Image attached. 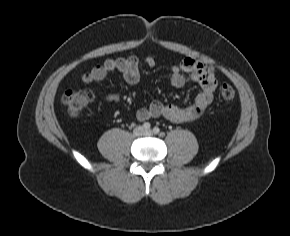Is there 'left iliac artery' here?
Segmentation results:
<instances>
[{"mask_svg":"<svg viewBox=\"0 0 290 236\" xmlns=\"http://www.w3.org/2000/svg\"><path fill=\"white\" fill-rule=\"evenodd\" d=\"M153 132H154L155 134H158V133L160 132V129H159L158 127H154V128H153Z\"/></svg>","mask_w":290,"mask_h":236,"instance_id":"left-iliac-artery-1","label":"left iliac artery"}]
</instances>
